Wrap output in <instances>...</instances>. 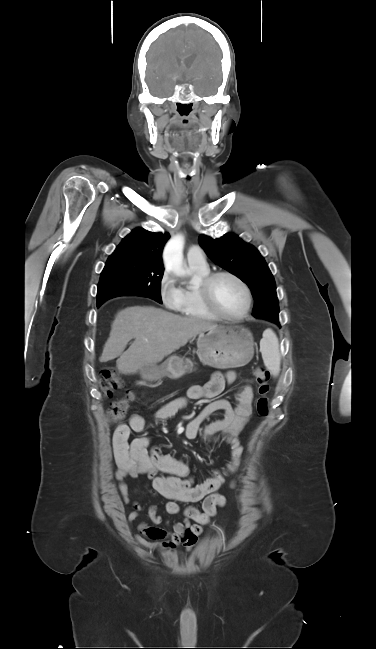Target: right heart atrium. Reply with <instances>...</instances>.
Instances as JSON below:
<instances>
[{
	"mask_svg": "<svg viewBox=\"0 0 376 649\" xmlns=\"http://www.w3.org/2000/svg\"><path fill=\"white\" fill-rule=\"evenodd\" d=\"M159 296L163 304L176 310L181 302V290L176 285L175 276L169 271L164 270L159 279L158 285Z\"/></svg>",
	"mask_w": 376,
	"mask_h": 649,
	"instance_id": "obj_1",
	"label": "right heart atrium"
}]
</instances>
